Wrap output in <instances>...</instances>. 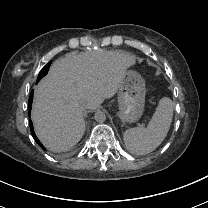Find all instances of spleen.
<instances>
[{
	"mask_svg": "<svg viewBox=\"0 0 208 208\" xmlns=\"http://www.w3.org/2000/svg\"><path fill=\"white\" fill-rule=\"evenodd\" d=\"M173 108L170 98H161L147 128L136 127L125 131L123 140L127 149L137 155L154 151L167 136L173 118Z\"/></svg>",
	"mask_w": 208,
	"mask_h": 208,
	"instance_id": "1",
	"label": "spleen"
}]
</instances>
